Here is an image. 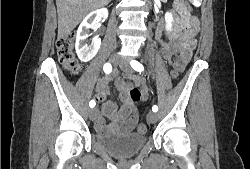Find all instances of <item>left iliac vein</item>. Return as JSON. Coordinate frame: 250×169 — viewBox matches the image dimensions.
Wrapping results in <instances>:
<instances>
[{"label": "left iliac vein", "instance_id": "1", "mask_svg": "<svg viewBox=\"0 0 250 169\" xmlns=\"http://www.w3.org/2000/svg\"><path fill=\"white\" fill-rule=\"evenodd\" d=\"M119 66L123 70V72H125L127 74L133 72L129 62H127V61L126 62H124V61L119 62ZM157 119H158V116H157V114L155 112H149L147 114V120L150 123L156 122Z\"/></svg>", "mask_w": 250, "mask_h": 169}]
</instances>
